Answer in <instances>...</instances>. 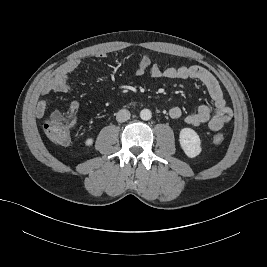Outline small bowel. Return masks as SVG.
Masks as SVG:
<instances>
[{"label":"small bowel","mask_w":267,"mask_h":267,"mask_svg":"<svg viewBox=\"0 0 267 267\" xmlns=\"http://www.w3.org/2000/svg\"><path fill=\"white\" fill-rule=\"evenodd\" d=\"M105 53L99 52L96 57L103 58ZM79 66V60H72L56 71L51 80L44 86L42 93H67L70 91L69 77ZM136 76L148 75L152 78H178L195 79L200 81L208 91L213 102V109L208 105H201L195 112L185 116V123L192 127L207 125L212 131L220 130L224 124L232 118V110L227 105L221 87L217 79L207 69L193 66L161 67L157 63H152L148 56H143L135 71ZM79 110V103L72 101L69 106V113L76 114ZM46 112V102L40 100L36 106L35 113L38 117H43ZM169 114L172 118L178 119L182 116L179 107L170 109Z\"/></svg>","instance_id":"obj_1"}]
</instances>
